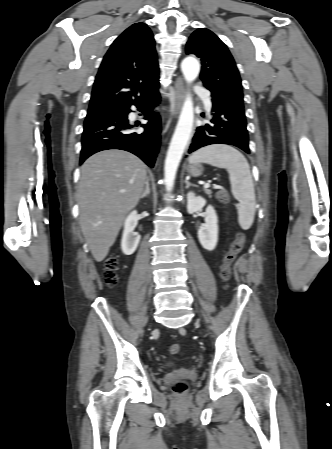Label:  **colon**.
Returning <instances> with one entry per match:
<instances>
[{"mask_svg": "<svg viewBox=\"0 0 332 449\" xmlns=\"http://www.w3.org/2000/svg\"><path fill=\"white\" fill-rule=\"evenodd\" d=\"M218 200L223 204L228 203V194L225 189L218 190L216 194ZM245 243V235L241 232L237 233L234 241L231 243L228 252L223 258V262L220 268L221 278L228 282L231 277V265L236 259L237 255L242 250ZM119 267V261L116 257H110L106 260L105 272H104V282L105 284L113 288L118 282V277L116 271ZM181 351V347L178 344H172L169 347V353L173 356L178 355ZM173 391L177 394L183 393L187 389V385L183 381H178L173 384Z\"/></svg>", "mask_w": 332, "mask_h": 449, "instance_id": "obj_1", "label": "colon"}]
</instances>
